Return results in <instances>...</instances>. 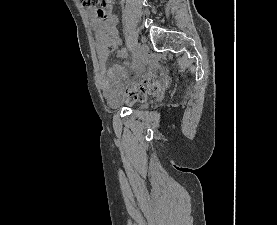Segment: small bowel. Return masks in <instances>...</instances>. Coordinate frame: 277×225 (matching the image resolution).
<instances>
[{
    "label": "small bowel",
    "mask_w": 277,
    "mask_h": 225,
    "mask_svg": "<svg viewBox=\"0 0 277 225\" xmlns=\"http://www.w3.org/2000/svg\"><path fill=\"white\" fill-rule=\"evenodd\" d=\"M92 20L95 32V44L98 53V74L99 83L106 96L114 94L120 95L123 88L134 82V79L142 76L143 67L132 63H114L111 66L107 64V51L105 43L108 40H114L116 45L120 46L121 41L115 31L118 18L108 7L107 15L104 17L95 16L93 11L88 12ZM128 56L126 49H121L119 57L124 59ZM148 78H154L152 73L147 74ZM166 80V77H163Z\"/></svg>",
    "instance_id": "small-bowel-1"
}]
</instances>
